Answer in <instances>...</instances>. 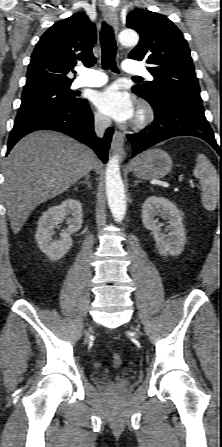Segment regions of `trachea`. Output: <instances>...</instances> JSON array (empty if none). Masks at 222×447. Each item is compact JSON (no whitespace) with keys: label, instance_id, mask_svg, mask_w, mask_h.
Returning a JSON list of instances; mask_svg holds the SVG:
<instances>
[{"label":"trachea","instance_id":"1","mask_svg":"<svg viewBox=\"0 0 222 447\" xmlns=\"http://www.w3.org/2000/svg\"><path fill=\"white\" fill-rule=\"evenodd\" d=\"M100 43L102 48V67L103 69H111L113 72H118L116 65V42L114 39L113 29L110 25L103 23L100 33ZM134 79H142L139 76H134Z\"/></svg>","mask_w":222,"mask_h":447}]
</instances>
